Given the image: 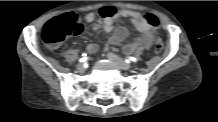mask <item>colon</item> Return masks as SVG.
Returning a JSON list of instances; mask_svg holds the SVG:
<instances>
[{
    "instance_id": "colon-1",
    "label": "colon",
    "mask_w": 218,
    "mask_h": 122,
    "mask_svg": "<svg viewBox=\"0 0 218 122\" xmlns=\"http://www.w3.org/2000/svg\"><path fill=\"white\" fill-rule=\"evenodd\" d=\"M148 22L158 27L159 20L153 14L146 15ZM83 31V25L80 19L75 13H66L57 17H54L43 28L42 38L44 42L51 48L57 47L63 40L70 36H77ZM155 52L162 50V43L157 38L154 42Z\"/></svg>"
}]
</instances>
